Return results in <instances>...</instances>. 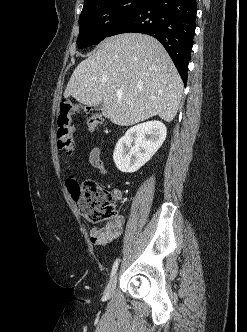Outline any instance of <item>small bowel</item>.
<instances>
[{
    "label": "small bowel",
    "instance_id": "small-bowel-1",
    "mask_svg": "<svg viewBox=\"0 0 247 332\" xmlns=\"http://www.w3.org/2000/svg\"><path fill=\"white\" fill-rule=\"evenodd\" d=\"M90 161L92 165L97 168L102 175L106 174V168L100 159L99 148H94L90 154ZM114 201L118 202L122 198V192L119 189L112 191ZM124 217L120 214H116L110 221L104 226L93 227L89 231V237L94 245H105L112 240L116 239L123 231Z\"/></svg>",
    "mask_w": 247,
    "mask_h": 332
}]
</instances>
